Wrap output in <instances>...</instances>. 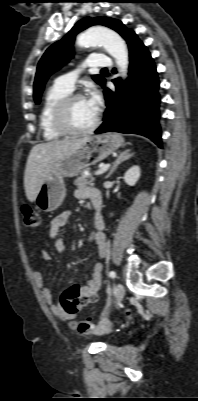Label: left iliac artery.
Returning a JSON list of instances; mask_svg holds the SVG:
<instances>
[{"label":"left iliac artery","mask_w":198,"mask_h":401,"mask_svg":"<svg viewBox=\"0 0 198 401\" xmlns=\"http://www.w3.org/2000/svg\"><path fill=\"white\" fill-rule=\"evenodd\" d=\"M109 276H110L111 278H115V277H116V273H115L114 271H110V272H109Z\"/></svg>","instance_id":"obj_1"}]
</instances>
